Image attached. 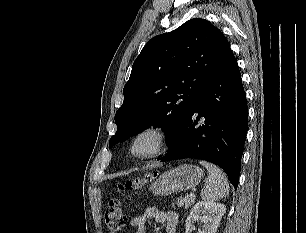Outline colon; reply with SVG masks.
Segmentation results:
<instances>
[{
  "label": "colon",
  "instance_id": "5ec220e1",
  "mask_svg": "<svg viewBox=\"0 0 306 233\" xmlns=\"http://www.w3.org/2000/svg\"><path fill=\"white\" fill-rule=\"evenodd\" d=\"M146 180L147 178L134 179L125 184H119L117 189L120 192L139 190ZM104 222L106 228L111 232H119L123 228L125 223V213L118 200L112 199L109 201L104 212Z\"/></svg>",
  "mask_w": 306,
  "mask_h": 233
}]
</instances>
